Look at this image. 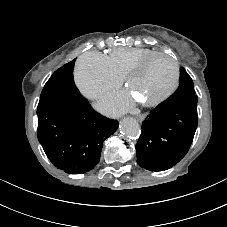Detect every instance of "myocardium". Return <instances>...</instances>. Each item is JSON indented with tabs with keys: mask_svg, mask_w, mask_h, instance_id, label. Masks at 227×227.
Instances as JSON below:
<instances>
[{
	"mask_svg": "<svg viewBox=\"0 0 227 227\" xmlns=\"http://www.w3.org/2000/svg\"><path fill=\"white\" fill-rule=\"evenodd\" d=\"M157 57H165L170 60V62L172 63V66H173V80H172V83L169 86V88L167 90H165L164 92H162L161 94L156 95L150 99L141 101V103L146 106H152V105H156V104L162 102L176 90V88L179 84L180 71H179L178 63L172 56H170L169 54H166L164 52H154L152 54H149V55L145 56L144 58H142L134 66H132L128 70V72L125 76L126 83L131 85L135 75L137 73H139L151 60H153Z\"/></svg>",
	"mask_w": 227,
	"mask_h": 227,
	"instance_id": "f54148a6",
	"label": "myocardium"
}]
</instances>
